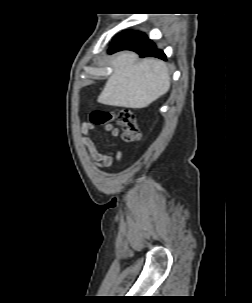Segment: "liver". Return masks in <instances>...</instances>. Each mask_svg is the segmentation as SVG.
Returning <instances> with one entry per match:
<instances>
[{"instance_id":"1","label":"liver","mask_w":252,"mask_h":303,"mask_svg":"<svg viewBox=\"0 0 252 303\" xmlns=\"http://www.w3.org/2000/svg\"><path fill=\"white\" fill-rule=\"evenodd\" d=\"M113 73L98 97V102L140 109L150 105L170 88L165 62L145 59L137 62L133 52H122L112 62Z\"/></svg>"}]
</instances>
